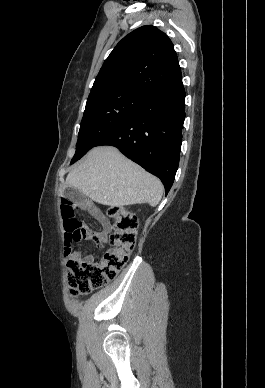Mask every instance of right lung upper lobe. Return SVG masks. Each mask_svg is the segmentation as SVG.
<instances>
[{"label": "right lung upper lobe", "mask_w": 265, "mask_h": 388, "mask_svg": "<svg viewBox=\"0 0 265 388\" xmlns=\"http://www.w3.org/2000/svg\"><path fill=\"white\" fill-rule=\"evenodd\" d=\"M182 80L169 37L156 27L142 26L125 36L100 69L91 93L124 91L143 97Z\"/></svg>", "instance_id": "obj_1"}]
</instances>
